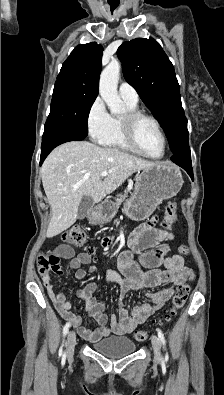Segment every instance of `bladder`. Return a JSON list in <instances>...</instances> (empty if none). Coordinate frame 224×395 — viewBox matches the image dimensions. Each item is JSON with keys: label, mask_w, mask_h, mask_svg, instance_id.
I'll list each match as a JSON object with an SVG mask.
<instances>
[{"label": "bladder", "mask_w": 224, "mask_h": 395, "mask_svg": "<svg viewBox=\"0 0 224 395\" xmlns=\"http://www.w3.org/2000/svg\"><path fill=\"white\" fill-rule=\"evenodd\" d=\"M92 349L108 358L117 359L136 350V344L124 336H111L95 342Z\"/></svg>", "instance_id": "31cf9c89"}]
</instances>
